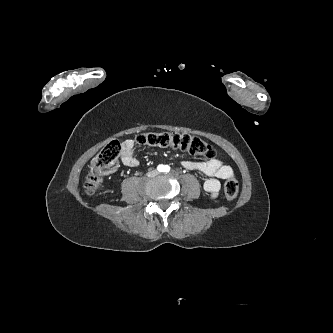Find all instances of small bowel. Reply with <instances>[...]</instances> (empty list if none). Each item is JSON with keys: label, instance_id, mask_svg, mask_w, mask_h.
Listing matches in <instances>:
<instances>
[{"label": "small bowel", "instance_id": "small-bowel-1", "mask_svg": "<svg viewBox=\"0 0 333 333\" xmlns=\"http://www.w3.org/2000/svg\"><path fill=\"white\" fill-rule=\"evenodd\" d=\"M120 157L122 163L127 167L133 168L139 165V161L134 155L133 140L126 139L121 143ZM182 165L186 169L199 171L202 174L208 176V178L203 183V188L211 199H216L219 194V180L234 176L233 169L217 158H212L209 160L185 159L182 161Z\"/></svg>", "mask_w": 333, "mask_h": 333}]
</instances>
